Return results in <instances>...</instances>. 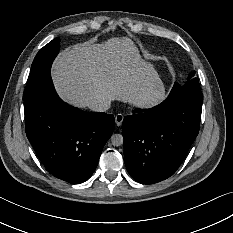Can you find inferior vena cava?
Listing matches in <instances>:
<instances>
[{
	"label": "inferior vena cava",
	"instance_id": "inferior-vena-cava-1",
	"mask_svg": "<svg viewBox=\"0 0 233 233\" xmlns=\"http://www.w3.org/2000/svg\"><path fill=\"white\" fill-rule=\"evenodd\" d=\"M111 105L108 99H98L90 106V110L94 112H105Z\"/></svg>",
	"mask_w": 233,
	"mask_h": 233
}]
</instances>
